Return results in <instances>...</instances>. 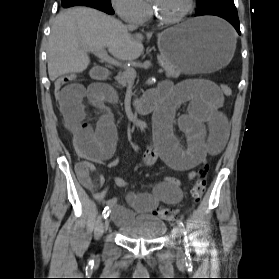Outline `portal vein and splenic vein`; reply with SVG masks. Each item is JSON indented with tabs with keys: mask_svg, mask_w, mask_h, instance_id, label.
Segmentation results:
<instances>
[{
	"mask_svg": "<svg viewBox=\"0 0 279 279\" xmlns=\"http://www.w3.org/2000/svg\"><path fill=\"white\" fill-rule=\"evenodd\" d=\"M87 50L94 53L102 61H105V62L110 63V64H112L114 66H117V67H124V65L121 62H119L118 60L110 57L105 49L88 48ZM125 69H129V68L125 67ZM130 71H131L132 77H135L136 72L134 70H130ZM159 71L161 72L162 69H160Z\"/></svg>",
	"mask_w": 279,
	"mask_h": 279,
	"instance_id": "obj_1",
	"label": "portal vein and splenic vein"
}]
</instances>
